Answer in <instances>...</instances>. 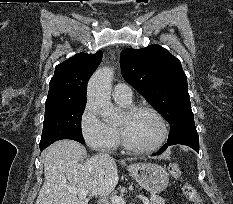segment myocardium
I'll use <instances>...</instances> for the list:
<instances>
[{
    "mask_svg": "<svg viewBox=\"0 0 233 204\" xmlns=\"http://www.w3.org/2000/svg\"><path fill=\"white\" fill-rule=\"evenodd\" d=\"M140 111L150 112L151 114H153L156 117V119L158 120V122L160 124L161 136H160L159 140L154 145L149 146V147L136 146L130 141V139L127 135V132L123 126L117 125L116 129L118 131L121 143L125 149H127L131 152L140 153V154L151 153V152L158 150L166 142L168 135H169L168 126H167L166 120L163 117V115L154 107L146 105V104H137V105L129 106V107L124 109L123 115L125 116L126 119H129Z\"/></svg>",
    "mask_w": 233,
    "mask_h": 204,
    "instance_id": "f54148a6",
    "label": "myocardium"
}]
</instances>
